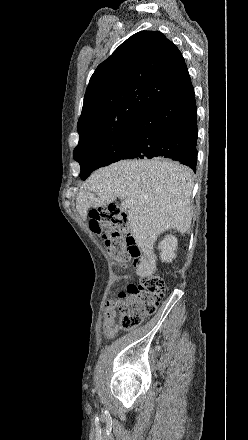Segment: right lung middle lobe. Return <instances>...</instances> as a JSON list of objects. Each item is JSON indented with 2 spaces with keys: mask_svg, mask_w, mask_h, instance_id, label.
I'll return each mask as SVG.
<instances>
[{
  "mask_svg": "<svg viewBox=\"0 0 248 440\" xmlns=\"http://www.w3.org/2000/svg\"><path fill=\"white\" fill-rule=\"evenodd\" d=\"M130 144L128 128L122 127L94 142L74 150V159L80 163L82 180L95 169L122 159Z\"/></svg>",
  "mask_w": 248,
  "mask_h": 440,
  "instance_id": "1",
  "label": "right lung middle lobe"
}]
</instances>
